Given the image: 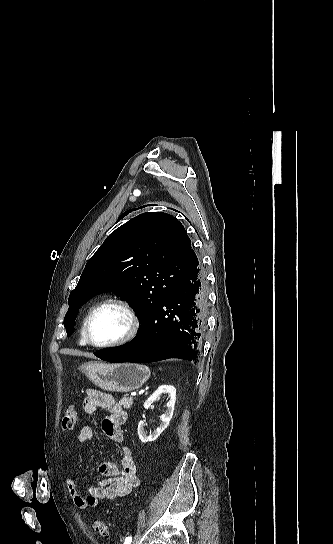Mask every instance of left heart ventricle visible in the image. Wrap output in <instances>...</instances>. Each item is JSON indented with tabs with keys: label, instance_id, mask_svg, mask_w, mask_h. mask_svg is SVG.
Returning a JSON list of instances; mask_svg holds the SVG:
<instances>
[{
	"label": "left heart ventricle",
	"instance_id": "obj_1",
	"mask_svg": "<svg viewBox=\"0 0 333 544\" xmlns=\"http://www.w3.org/2000/svg\"><path fill=\"white\" fill-rule=\"evenodd\" d=\"M129 317L118 305L101 307L92 317L90 336L96 343H109L121 338L128 330Z\"/></svg>",
	"mask_w": 333,
	"mask_h": 544
}]
</instances>
